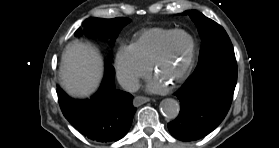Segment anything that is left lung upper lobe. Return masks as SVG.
<instances>
[{
	"mask_svg": "<svg viewBox=\"0 0 279 148\" xmlns=\"http://www.w3.org/2000/svg\"><path fill=\"white\" fill-rule=\"evenodd\" d=\"M185 13L194 21L202 38L199 62L217 54L234 52L229 36L222 26L196 10Z\"/></svg>",
	"mask_w": 279,
	"mask_h": 148,
	"instance_id": "5c2ea615",
	"label": "left lung upper lobe"
}]
</instances>
